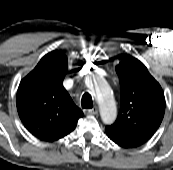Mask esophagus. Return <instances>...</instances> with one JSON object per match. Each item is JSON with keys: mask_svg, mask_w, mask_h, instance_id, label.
I'll return each instance as SVG.
<instances>
[{"mask_svg": "<svg viewBox=\"0 0 173 170\" xmlns=\"http://www.w3.org/2000/svg\"><path fill=\"white\" fill-rule=\"evenodd\" d=\"M85 114H97L98 108L95 106L92 109H85L83 110Z\"/></svg>", "mask_w": 173, "mask_h": 170, "instance_id": "esophagus-1", "label": "esophagus"}]
</instances>
